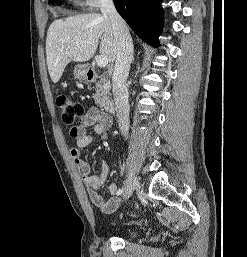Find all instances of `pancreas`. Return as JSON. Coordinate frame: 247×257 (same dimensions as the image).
<instances>
[{
	"mask_svg": "<svg viewBox=\"0 0 247 257\" xmlns=\"http://www.w3.org/2000/svg\"><path fill=\"white\" fill-rule=\"evenodd\" d=\"M96 92L93 95L95 103L100 107H105L109 101L110 84L105 77H101L100 81L96 83Z\"/></svg>",
	"mask_w": 247,
	"mask_h": 257,
	"instance_id": "1",
	"label": "pancreas"
}]
</instances>
